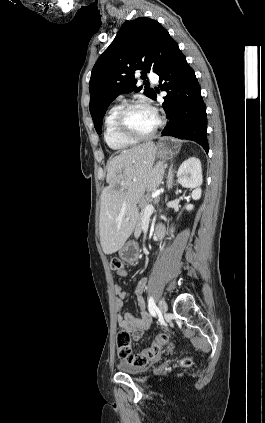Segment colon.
Segmentation results:
<instances>
[{"label":"colon","instance_id":"obj_1","mask_svg":"<svg viewBox=\"0 0 265 423\" xmlns=\"http://www.w3.org/2000/svg\"><path fill=\"white\" fill-rule=\"evenodd\" d=\"M112 271L118 273L124 269V262L120 258H113L110 262ZM169 344V335L167 333L158 334L151 344L139 352H133L131 338L127 330L120 328L117 333L116 345L118 355L129 366L143 367L150 361L157 358L163 349ZM182 366H189L191 359L186 357L181 361Z\"/></svg>","mask_w":265,"mask_h":423}]
</instances>
